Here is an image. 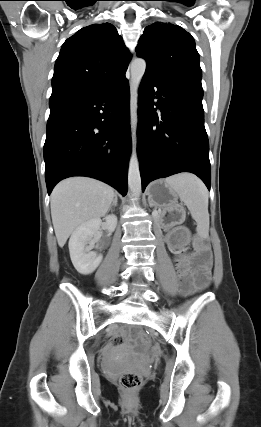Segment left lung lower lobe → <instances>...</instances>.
<instances>
[{
	"label": "left lung lower lobe",
	"instance_id": "0a47b994",
	"mask_svg": "<svg viewBox=\"0 0 261 427\" xmlns=\"http://www.w3.org/2000/svg\"><path fill=\"white\" fill-rule=\"evenodd\" d=\"M139 93L138 155L142 191L152 180L180 172L194 173L210 190L203 89L144 74ZM155 99H158L156 103Z\"/></svg>",
	"mask_w": 261,
	"mask_h": 427
}]
</instances>
